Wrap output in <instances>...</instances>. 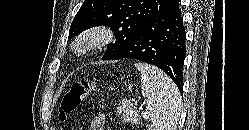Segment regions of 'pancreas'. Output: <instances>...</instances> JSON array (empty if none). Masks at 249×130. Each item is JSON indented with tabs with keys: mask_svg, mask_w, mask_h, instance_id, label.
Masks as SVG:
<instances>
[{
	"mask_svg": "<svg viewBox=\"0 0 249 130\" xmlns=\"http://www.w3.org/2000/svg\"><path fill=\"white\" fill-rule=\"evenodd\" d=\"M117 112L122 114V118L127 122L137 125L141 123L139 111L133 104L127 101H124L122 106L117 107Z\"/></svg>",
	"mask_w": 249,
	"mask_h": 130,
	"instance_id": "pancreas-1",
	"label": "pancreas"
}]
</instances>
